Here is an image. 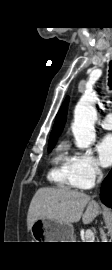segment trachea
<instances>
[{
  "mask_svg": "<svg viewBox=\"0 0 112 270\" xmlns=\"http://www.w3.org/2000/svg\"><path fill=\"white\" fill-rule=\"evenodd\" d=\"M109 82H108V85L110 87V89H112V61L110 62L109 64Z\"/></svg>",
  "mask_w": 112,
  "mask_h": 270,
  "instance_id": "trachea-1",
  "label": "trachea"
}]
</instances>
